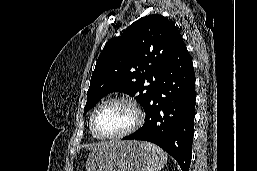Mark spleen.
Returning <instances> with one entry per match:
<instances>
[{
    "mask_svg": "<svg viewBox=\"0 0 257 171\" xmlns=\"http://www.w3.org/2000/svg\"><path fill=\"white\" fill-rule=\"evenodd\" d=\"M141 146L148 154L146 171H160L167 162V154L161 148L149 142H141Z\"/></svg>",
    "mask_w": 257,
    "mask_h": 171,
    "instance_id": "1",
    "label": "spleen"
}]
</instances>
